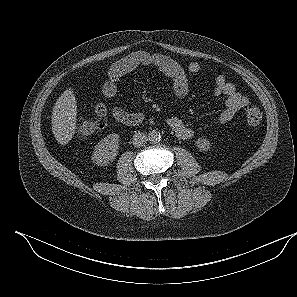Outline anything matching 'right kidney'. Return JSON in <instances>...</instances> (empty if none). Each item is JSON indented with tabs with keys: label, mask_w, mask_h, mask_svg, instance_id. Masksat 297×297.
Masks as SVG:
<instances>
[{
	"label": "right kidney",
	"mask_w": 297,
	"mask_h": 297,
	"mask_svg": "<svg viewBox=\"0 0 297 297\" xmlns=\"http://www.w3.org/2000/svg\"><path fill=\"white\" fill-rule=\"evenodd\" d=\"M119 150V135L112 133L102 139L96 146L92 155V161L104 166L114 161Z\"/></svg>",
	"instance_id": "1"
}]
</instances>
